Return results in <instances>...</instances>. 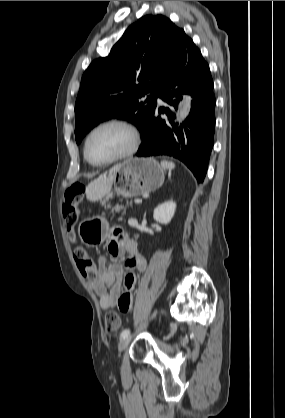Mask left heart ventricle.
Here are the masks:
<instances>
[{"label":"left heart ventricle","mask_w":285,"mask_h":418,"mask_svg":"<svg viewBox=\"0 0 285 418\" xmlns=\"http://www.w3.org/2000/svg\"><path fill=\"white\" fill-rule=\"evenodd\" d=\"M131 136L120 126L110 125L97 130L89 139L87 154L94 162H103L125 152Z\"/></svg>","instance_id":"1"}]
</instances>
